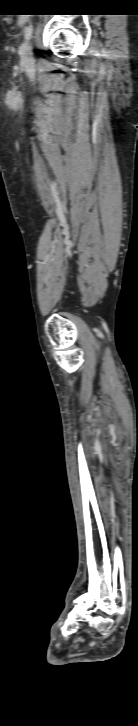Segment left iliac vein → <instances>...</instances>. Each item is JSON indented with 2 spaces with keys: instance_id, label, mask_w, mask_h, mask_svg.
Listing matches in <instances>:
<instances>
[{
  "instance_id": "4c4485c4",
  "label": "left iliac vein",
  "mask_w": 138,
  "mask_h": 726,
  "mask_svg": "<svg viewBox=\"0 0 138 726\" xmlns=\"http://www.w3.org/2000/svg\"><path fill=\"white\" fill-rule=\"evenodd\" d=\"M19 52L23 63L33 61L32 44L30 41L24 42L21 45Z\"/></svg>"
}]
</instances>
